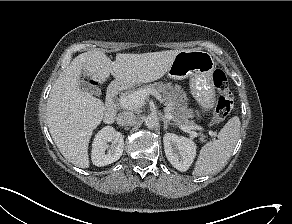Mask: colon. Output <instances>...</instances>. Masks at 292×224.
I'll use <instances>...</instances> for the list:
<instances>
[{"label": "colon", "mask_w": 292, "mask_h": 224, "mask_svg": "<svg viewBox=\"0 0 292 224\" xmlns=\"http://www.w3.org/2000/svg\"><path fill=\"white\" fill-rule=\"evenodd\" d=\"M95 83L94 81H90ZM213 82L219 91L216 106L211 120L212 124L223 121L233 108V95L229 87L228 79L225 72L221 69L215 70L213 74Z\"/></svg>", "instance_id": "1"}]
</instances>
